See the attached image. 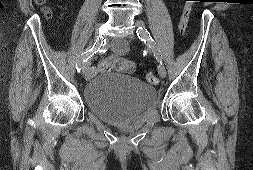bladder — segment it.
<instances>
[{"label": "bladder", "mask_w": 253, "mask_h": 170, "mask_svg": "<svg viewBox=\"0 0 253 170\" xmlns=\"http://www.w3.org/2000/svg\"><path fill=\"white\" fill-rule=\"evenodd\" d=\"M83 99L100 120L123 125L154 106L156 89L130 75L104 72L85 83Z\"/></svg>", "instance_id": "31cf9c89"}]
</instances>
